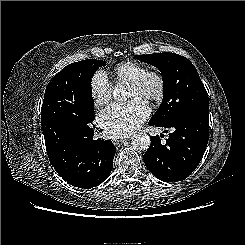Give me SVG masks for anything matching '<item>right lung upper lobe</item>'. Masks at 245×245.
Segmentation results:
<instances>
[{"label": "right lung upper lobe", "instance_id": "right-lung-upper-lobe-1", "mask_svg": "<svg viewBox=\"0 0 245 245\" xmlns=\"http://www.w3.org/2000/svg\"><path fill=\"white\" fill-rule=\"evenodd\" d=\"M74 95V85L67 65L54 76L46 87L41 110L43 134H51L53 131L60 130V116Z\"/></svg>", "mask_w": 245, "mask_h": 245}]
</instances>
